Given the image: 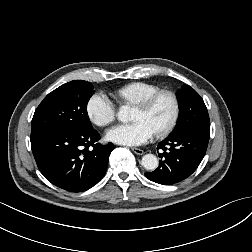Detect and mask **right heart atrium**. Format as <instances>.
Returning <instances> with one entry per match:
<instances>
[{"instance_id": "d8ad5b80", "label": "right heart atrium", "mask_w": 252, "mask_h": 252, "mask_svg": "<svg viewBox=\"0 0 252 252\" xmlns=\"http://www.w3.org/2000/svg\"><path fill=\"white\" fill-rule=\"evenodd\" d=\"M116 106L109 97L101 92L93 94L86 103L89 120L99 127H105L116 118Z\"/></svg>"}]
</instances>
